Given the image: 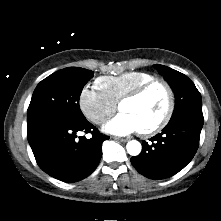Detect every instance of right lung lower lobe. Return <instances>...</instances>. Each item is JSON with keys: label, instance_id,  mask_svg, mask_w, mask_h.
I'll list each match as a JSON object with an SVG mask.
<instances>
[{"label": "right lung lower lobe", "instance_id": "obj_1", "mask_svg": "<svg viewBox=\"0 0 221 221\" xmlns=\"http://www.w3.org/2000/svg\"><path fill=\"white\" fill-rule=\"evenodd\" d=\"M79 131L93 136L78 138ZM27 139L44 172L63 182H76L95 170L102 143L109 137L99 133L85 117L54 115L27 123Z\"/></svg>", "mask_w": 221, "mask_h": 221}]
</instances>
